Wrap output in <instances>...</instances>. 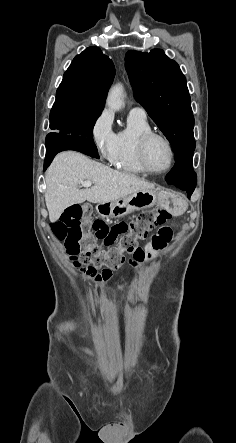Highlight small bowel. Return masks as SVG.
Instances as JSON below:
<instances>
[{"label":"small bowel","instance_id":"obj_1","mask_svg":"<svg viewBox=\"0 0 236 443\" xmlns=\"http://www.w3.org/2000/svg\"><path fill=\"white\" fill-rule=\"evenodd\" d=\"M166 242L167 239L163 238L160 233L155 234L146 245L149 253L147 254L146 252V255L142 259V262H144L147 258H152L155 251L163 249L166 245ZM129 263L132 265V259L129 261ZM80 271L88 278L94 279L97 283H105L98 279V276L101 272L97 274V271L92 267L80 268Z\"/></svg>","mask_w":236,"mask_h":443}]
</instances>
